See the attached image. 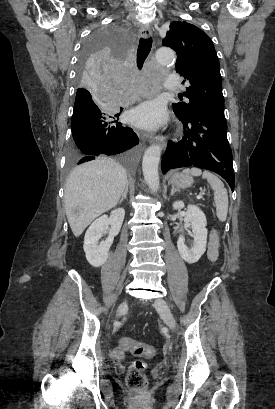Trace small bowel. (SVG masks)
Wrapping results in <instances>:
<instances>
[{"instance_id":"obj_1","label":"small bowel","mask_w":275,"mask_h":409,"mask_svg":"<svg viewBox=\"0 0 275 409\" xmlns=\"http://www.w3.org/2000/svg\"><path fill=\"white\" fill-rule=\"evenodd\" d=\"M219 239L216 233L212 232L207 249V256L210 261L214 262L218 258ZM115 359L121 361L124 359V351L121 349L114 350Z\"/></svg>"}]
</instances>
